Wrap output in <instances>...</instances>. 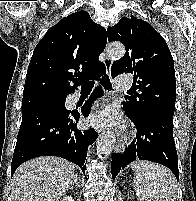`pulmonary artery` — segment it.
<instances>
[{
	"instance_id": "pulmonary-artery-1",
	"label": "pulmonary artery",
	"mask_w": 196,
	"mask_h": 201,
	"mask_svg": "<svg viewBox=\"0 0 196 201\" xmlns=\"http://www.w3.org/2000/svg\"><path fill=\"white\" fill-rule=\"evenodd\" d=\"M130 86V81L127 77H120L114 81V87L116 89H127ZM78 100V96L74 97V101Z\"/></svg>"
}]
</instances>
